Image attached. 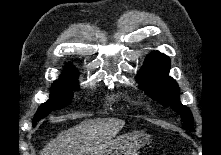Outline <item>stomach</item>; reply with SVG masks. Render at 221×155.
<instances>
[{
    "label": "stomach",
    "instance_id": "obj_1",
    "mask_svg": "<svg viewBox=\"0 0 221 155\" xmlns=\"http://www.w3.org/2000/svg\"><path fill=\"white\" fill-rule=\"evenodd\" d=\"M148 141V136L140 132L125 134L114 139L104 155H138Z\"/></svg>",
    "mask_w": 221,
    "mask_h": 155
}]
</instances>
